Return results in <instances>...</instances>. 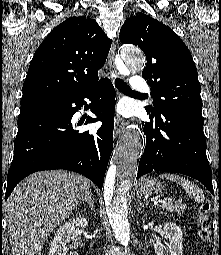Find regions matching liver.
I'll list each match as a JSON object with an SVG mask.
<instances>
[{
  "label": "liver",
  "mask_w": 221,
  "mask_h": 255,
  "mask_svg": "<svg viewBox=\"0 0 221 255\" xmlns=\"http://www.w3.org/2000/svg\"><path fill=\"white\" fill-rule=\"evenodd\" d=\"M90 183L64 170L36 172L20 182L3 206L13 255H40L47 237L86 196Z\"/></svg>",
  "instance_id": "6515ba94"
}]
</instances>
